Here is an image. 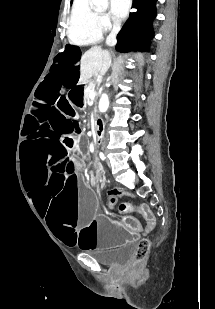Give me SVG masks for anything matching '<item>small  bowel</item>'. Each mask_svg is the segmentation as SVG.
I'll use <instances>...</instances> for the list:
<instances>
[{"label":"small bowel","mask_w":215,"mask_h":309,"mask_svg":"<svg viewBox=\"0 0 215 309\" xmlns=\"http://www.w3.org/2000/svg\"><path fill=\"white\" fill-rule=\"evenodd\" d=\"M145 218L150 225L154 224L155 218L151 212H149Z\"/></svg>","instance_id":"1"}]
</instances>
